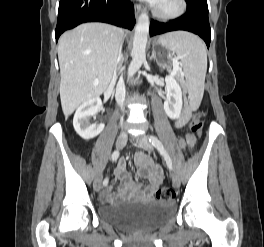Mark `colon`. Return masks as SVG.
I'll return each mask as SVG.
<instances>
[{
	"mask_svg": "<svg viewBox=\"0 0 264 247\" xmlns=\"http://www.w3.org/2000/svg\"><path fill=\"white\" fill-rule=\"evenodd\" d=\"M203 117H204L203 112L194 113L191 123H190L192 132L196 134L201 133L202 128H203ZM156 195L159 200H170L174 198L175 196L174 191L170 188L159 189Z\"/></svg>",
	"mask_w": 264,
	"mask_h": 247,
	"instance_id": "5ec220e1",
	"label": "colon"
}]
</instances>
